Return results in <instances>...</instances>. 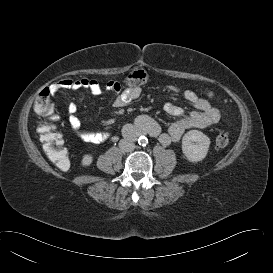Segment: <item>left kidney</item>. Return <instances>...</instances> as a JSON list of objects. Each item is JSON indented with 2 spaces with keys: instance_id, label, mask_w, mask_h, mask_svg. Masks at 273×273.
Segmentation results:
<instances>
[{
  "instance_id": "left-kidney-1",
  "label": "left kidney",
  "mask_w": 273,
  "mask_h": 273,
  "mask_svg": "<svg viewBox=\"0 0 273 273\" xmlns=\"http://www.w3.org/2000/svg\"><path fill=\"white\" fill-rule=\"evenodd\" d=\"M210 138L198 130H190L182 138V151L193 163L203 160L208 152Z\"/></svg>"
}]
</instances>
